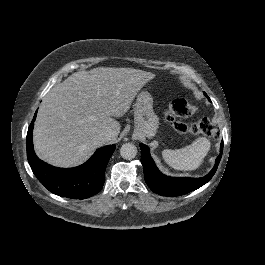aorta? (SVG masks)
<instances>
[{"label": "aorta", "instance_id": "obj_1", "mask_svg": "<svg viewBox=\"0 0 265 265\" xmlns=\"http://www.w3.org/2000/svg\"><path fill=\"white\" fill-rule=\"evenodd\" d=\"M120 155L124 159H132L137 155V147L132 143H125L120 148Z\"/></svg>", "mask_w": 265, "mask_h": 265}]
</instances>
